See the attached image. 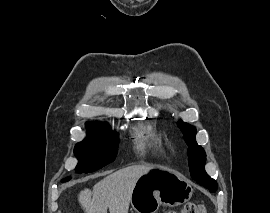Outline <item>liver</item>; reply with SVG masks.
Listing matches in <instances>:
<instances>
[{
    "instance_id": "liver-1",
    "label": "liver",
    "mask_w": 270,
    "mask_h": 213,
    "mask_svg": "<svg viewBox=\"0 0 270 213\" xmlns=\"http://www.w3.org/2000/svg\"><path fill=\"white\" fill-rule=\"evenodd\" d=\"M151 165H134L120 169L98 183L93 190L84 189L78 201L85 213H128L136 181L153 169Z\"/></svg>"
}]
</instances>
